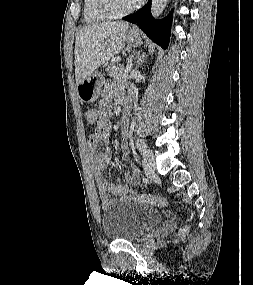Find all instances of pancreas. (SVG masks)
<instances>
[{
  "mask_svg": "<svg viewBox=\"0 0 253 285\" xmlns=\"http://www.w3.org/2000/svg\"><path fill=\"white\" fill-rule=\"evenodd\" d=\"M126 70L127 69L123 65L114 61L108 66L107 74L112 77L122 78Z\"/></svg>",
  "mask_w": 253,
  "mask_h": 285,
  "instance_id": "pancreas-1",
  "label": "pancreas"
}]
</instances>
